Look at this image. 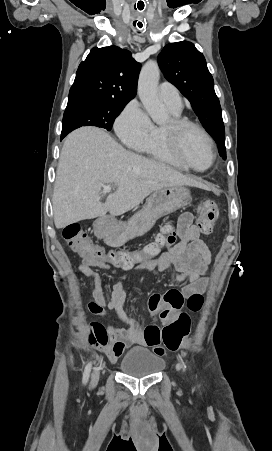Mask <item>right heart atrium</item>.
I'll return each mask as SVG.
<instances>
[{
    "instance_id": "right-heart-atrium-1",
    "label": "right heart atrium",
    "mask_w": 272,
    "mask_h": 451,
    "mask_svg": "<svg viewBox=\"0 0 272 451\" xmlns=\"http://www.w3.org/2000/svg\"><path fill=\"white\" fill-rule=\"evenodd\" d=\"M115 127L124 141L136 146L149 138L154 125L140 104L132 101L116 120Z\"/></svg>"
}]
</instances>
